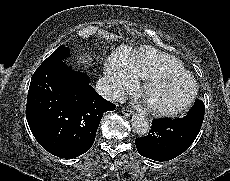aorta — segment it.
<instances>
[{"label":"aorta","instance_id":"obj_1","mask_svg":"<svg viewBox=\"0 0 230 181\" xmlns=\"http://www.w3.org/2000/svg\"><path fill=\"white\" fill-rule=\"evenodd\" d=\"M131 125L134 131L140 136L148 135L151 129L150 122L141 114H134L132 116Z\"/></svg>","mask_w":230,"mask_h":181}]
</instances>
